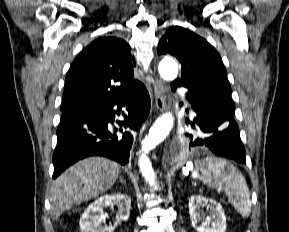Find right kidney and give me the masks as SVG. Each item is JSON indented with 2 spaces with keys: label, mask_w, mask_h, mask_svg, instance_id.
I'll return each mask as SVG.
<instances>
[{
  "label": "right kidney",
  "mask_w": 289,
  "mask_h": 232,
  "mask_svg": "<svg viewBox=\"0 0 289 232\" xmlns=\"http://www.w3.org/2000/svg\"><path fill=\"white\" fill-rule=\"evenodd\" d=\"M108 206H117V223L129 218L130 198L122 193L107 194L96 199L84 211L79 223L81 232H114L115 225L102 227L104 208Z\"/></svg>",
  "instance_id": "ca27d5eb"
}]
</instances>
